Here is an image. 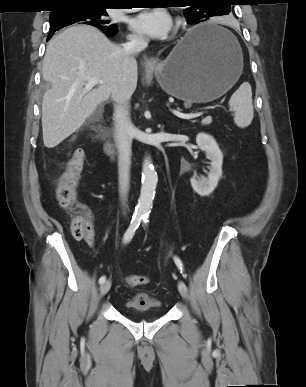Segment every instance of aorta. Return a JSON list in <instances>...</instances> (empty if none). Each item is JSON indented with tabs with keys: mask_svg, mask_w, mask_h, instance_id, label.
Returning a JSON list of instances; mask_svg holds the SVG:
<instances>
[{
	"mask_svg": "<svg viewBox=\"0 0 306 387\" xmlns=\"http://www.w3.org/2000/svg\"><path fill=\"white\" fill-rule=\"evenodd\" d=\"M158 176L150 158H146L142 168V185L140 197L135 209L137 217H147L152 209Z\"/></svg>",
	"mask_w": 306,
	"mask_h": 387,
	"instance_id": "762f6f07",
	"label": "aorta"
}]
</instances>
